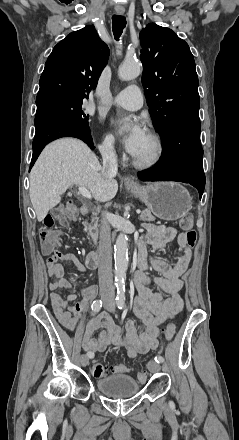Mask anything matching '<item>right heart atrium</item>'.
Listing matches in <instances>:
<instances>
[{
    "label": "right heart atrium",
    "mask_w": 239,
    "mask_h": 440,
    "mask_svg": "<svg viewBox=\"0 0 239 440\" xmlns=\"http://www.w3.org/2000/svg\"><path fill=\"white\" fill-rule=\"evenodd\" d=\"M101 152L104 156L112 157L116 153V148L114 141L111 137H106L101 146H100Z\"/></svg>",
    "instance_id": "obj_1"
}]
</instances>
